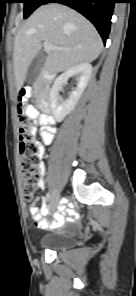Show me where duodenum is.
I'll return each instance as SVG.
<instances>
[{"label": "duodenum", "mask_w": 136, "mask_h": 296, "mask_svg": "<svg viewBox=\"0 0 136 296\" xmlns=\"http://www.w3.org/2000/svg\"><path fill=\"white\" fill-rule=\"evenodd\" d=\"M55 76L48 70H45L42 76L41 92L39 95V108L46 114V122L50 125L54 123L52 116L51 100L48 95V88L53 82Z\"/></svg>", "instance_id": "1"}]
</instances>
